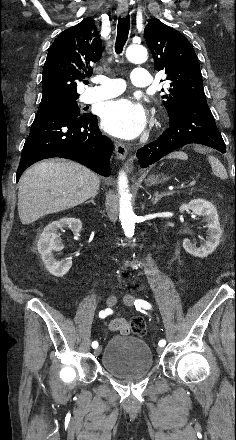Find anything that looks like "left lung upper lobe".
<instances>
[{"mask_svg":"<svg viewBox=\"0 0 236 440\" xmlns=\"http://www.w3.org/2000/svg\"><path fill=\"white\" fill-rule=\"evenodd\" d=\"M155 69L167 74L169 94L163 104L170 120L190 102L206 100L199 61L190 42L178 31L158 19H152L144 30Z\"/></svg>","mask_w":236,"mask_h":440,"instance_id":"5c2ea615","label":"left lung upper lobe"}]
</instances>
